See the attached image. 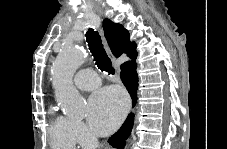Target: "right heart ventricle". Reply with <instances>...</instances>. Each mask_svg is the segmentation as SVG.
<instances>
[{
    "label": "right heart ventricle",
    "mask_w": 227,
    "mask_h": 149,
    "mask_svg": "<svg viewBox=\"0 0 227 149\" xmlns=\"http://www.w3.org/2000/svg\"><path fill=\"white\" fill-rule=\"evenodd\" d=\"M49 114L51 117L49 124L51 145L72 148L75 140L71 132V120L57 115L53 108L49 110Z\"/></svg>",
    "instance_id": "obj_1"
}]
</instances>
